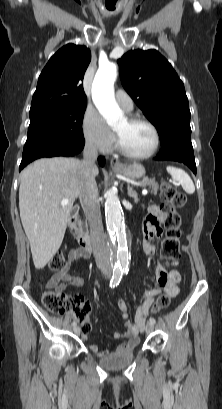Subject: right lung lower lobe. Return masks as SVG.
<instances>
[{"label": "right lung lower lobe", "mask_w": 222, "mask_h": 409, "mask_svg": "<svg viewBox=\"0 0 222 409\" xmlns=\"http://www.w3.org/2000/svg\"><path fill=\"white\" fill-rule=\"evenodd\" d=\"M84 145L76 148L70 152H66V153H46V154H36V155H32L30 157L27 158H23L19 167V171H21L27 164H29L30 162H32L35 159L41 158V157H53V156H73L78 154L79 152L82 151ZM98 162L101 166H104L105 164V158L104 157H99L98 158Z\"/></svg>", "instance_id": "1"}]
</instances>
